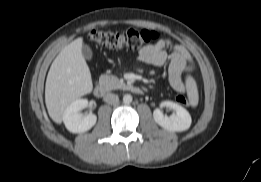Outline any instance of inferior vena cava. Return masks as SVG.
I'll return each mask as SVG.
<instances>
[{
  "mask_svg": "<svg viewBox=\"0 0 261 182\" xmlns=\"http://www.w3.org/2000/svg\"><path fill=\"white\" fill-rule=\"evenodd\" d=\"M104 101L107 102L108 104H116L119 102V97L116 94L113 93H107L104 96Z\"/></svg>",
  "mask_w": 261,
  "mask_h": 182,
  "instance_id": "inferior-vena-cava-1",
  "label": "inferior vena cava"
}]
</instances>
